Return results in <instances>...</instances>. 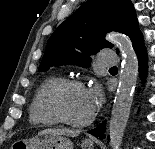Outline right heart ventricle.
<instances>
[{"mask_svg":"<svg viewBox=\"0 0 155 149\" xmlns=\"http://www.w3.org/2000/svg\"><path fill=\"white\" fill-rule=\"evenodd\" d=\"M61 79L57 75L49 76L37 87L29 105V122L32 125L51 127L59 123L47 107L46 96L50 88Z\"/></svg>","mask_w":155,"mask_h":149,"instance_id":"1","label":"right heart ventricle"}]
</instances>
